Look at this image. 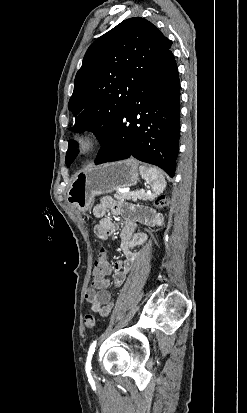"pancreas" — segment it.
<instances>
[{
    "label": "pancreas",
    "instance_id": "pancreas-1",
    "mask_svg": "<svg viewBox=\"0 0 247 413\" xmlns=\"http://www.w3.org/2000/svg\"><path fill=\"white\" fill-rule=\"evenodd\" d=\"M115 198H118L119 202H124V200H134L136 202L137 198H142V200H153L155 198V194H148V192H141V190H130V192H116L114 194Z\"/></svg>",
    "mask_w": 247,
    "mask_h": 413
}]
</instances>
